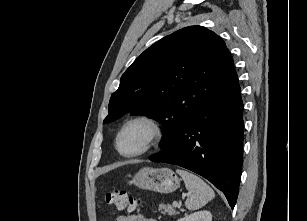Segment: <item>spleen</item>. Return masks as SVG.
Listing matches in <instances>:
<instances>
[{
	"label": "spleen",
	"mask_w": 307,
	"mask_h": 221,
	"mask_svg": "<svg viewBox=\"0 0 307 221\" xmlns=\"http://www.w3.org/2000/svg\"><path fill=\"white\" fill-rule=\"evenodd\" d=\"M176 172L183 178L186 189L191 193L185 202L187 209L197 210L215 197L212 188L197 175L182 169H177Z\"/></svg>",
	"instance_id": "1"
}]
</instances>
